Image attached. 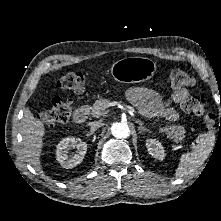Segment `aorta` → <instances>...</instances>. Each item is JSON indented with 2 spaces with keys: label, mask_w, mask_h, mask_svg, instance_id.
Listing matches in <instances>:
<instances>
[{
  "label": "aorta",
  "mask_w": 221,
  "mask_h": 221,
  "mask_svg": "<svg viewBox=\"0 0 221 221\" xmlns=\"http://www.w3.org/2000/svg\"><path fill=\"white\" fill-rule=\"evenodd\" d=\"M112 134L117 139H126L130 136L131 130L127 123L116 122L111 127Z\"/></svg>",
  "instance_id": "obj_1"
}]
</instances>
